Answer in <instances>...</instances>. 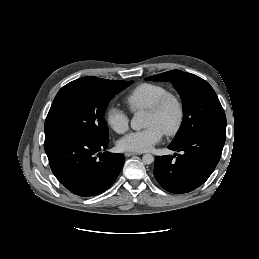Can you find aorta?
<instances>
[{
	"label": "aorta",
	"mask_w": 259,
	"mask_h": 259,
	"mask_svg": "<svg viewBox=\"0 0 259 259\" xmlns=\"http://www.w3.org/2000/svg\"><path fill=\"white\" fill-rule=\"evenodd\" d=\"M131 128L133 130H141L147 125V115L144 111H137L131 119ZM144 164H151L154 162V157L151 154H144L142 157Z\"/></svg>",
	"instance_id": "762f6f07"
}]
</instances>
